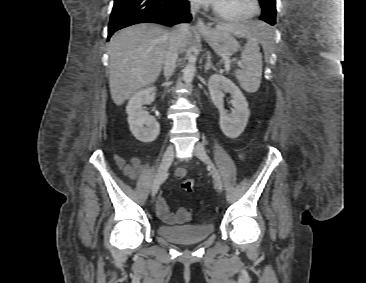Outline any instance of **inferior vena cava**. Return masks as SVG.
<instances>
[{"label":"inferior vena cava","instance_id":"inferior-vena-cava-1","mask_svg":"<svg viewBox=\"0 0 366 283\" xmlns=\"http://www.w3.org/2000/svg\"><path fill=\"white\" fill-rule=\"evenodd\" d=\"M199 9V6L195 3H191V13L194 15ZM189 25L182 23L177 25L170 33L169 47L164 60V76L166 79L172 76L175 71L176 62L179 55V50L182 45V41L188 32Z\"/></svg>","mask_w":366,"mask_h":283}]
</instances>
